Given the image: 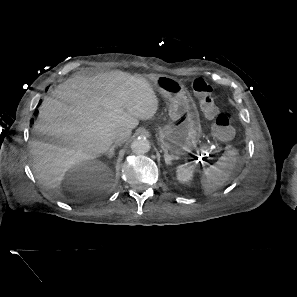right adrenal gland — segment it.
Returning <instances> with one entry per match:
<instances>
[{
  "instance_id": "right-adrenal-gland-1",
  "label": "right adrenal gland",
  "mask_w": 297,
  "mask_h": 297,
  "mask_svg": "<svg viewBox=\"0 0 297 297\" xmlns=\"http://www.w3.org/2000/svg\"><path fill=\"white\" fill-rule=\"evenodd\" d=\"M119 144H114L111 146V148L106 152L108 154V157L111 158L114 155L115 148H117Z\"/></svg>"
}]
</instances>
